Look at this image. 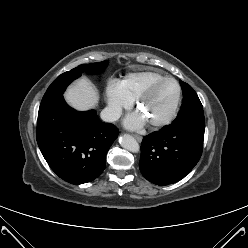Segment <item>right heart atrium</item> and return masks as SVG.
I'll return each mask as SVG.
<instances>
[{
  "mask_svg": "<svg viewBox=\"0 0 248 248\" xmlns=\"http://www.w3.org/2000/svg\"><path fill=\"white\" fill-rule=\"evenodd\" d=\"M108 114L111 119H116L123 109L128 108L132 100L124 93L121 82L111 79L106 87Z\"/></svg>",
  "mask_w": 248,
  "mask_h": 248,
  "instance_id": "d8ad5b80",
  "label": "right heart atrium"
}]
</instances>
